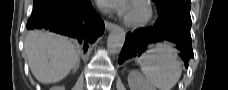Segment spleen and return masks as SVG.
<instances>
[{
	"instance_id": "obj_1",
	"label": "spleen",
	"mask_w": 228,
	"mask_h": 90,
	"mask_svg": "<svg viewBox=\"0 0 228 90\" xmlns=\"http://www.w3.org/2000/svg\"><path fill=\"white\" fill-rule=\"evenodd\" d=\"M140 65L147 80L159 90H171L182 74L177 51L167 43L144 56Z\"/></svg>"
}]
</instances>
